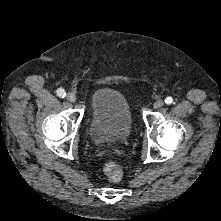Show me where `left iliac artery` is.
<instances>
[{
  "instance_id": "1",
  "label": "left iliac artery",
  "mask_w": 221,
  "mask_h": 221,
  "mask_svg": "<svg viewBox=\"0 0 221 221\" xmlns=\"http://www.w3.org/2000/svg\"><path fill=\"white\" fill-rule=\"evenodd\" d=\"M172 102H173V98L172 97H167L165 99V103L168 104V105L172 104Z\"/></svg>"
}]
</instances>
